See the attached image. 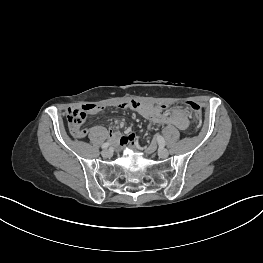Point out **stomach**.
<instances>
[{
	"instance_id": "obj_1",
	"label": "stomach",
	"mask_w": 263,
	"mask_h": 263,
	"mask_svg": "<svg viewBox=\"0 0 263 263\" xmlns=\"http://www.w3.org/2000/svg\"><path fill=\"white\" fill-rule=\"evenodd\" d=\"M165 114L169 118L185 120L189 116V109L185 105H179L178 103H169L165 107Z\"/></svg>"
}]
</instances>
